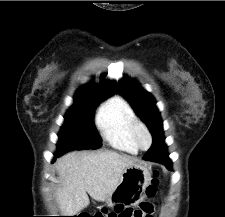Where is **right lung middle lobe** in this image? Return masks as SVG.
Segmentation results:
<instances>
[{"instance_id": "right-lung-middle-lobe-1", "label": "right lung middle lobe", "mask_w": 225, "mask_h": 217, "mask_svg": "<svg viewBox=\"0 0 225 217\" xmlns=\"http://www.w3.org/2000/svg\"><path fill=\"white\" fill-rule=\"evenodd\" d=\"M104 98H75L74 104L67 111L65 123L58 135V155L70 150L98 149L101 138L93 123L94 109Z\"/></svg>"}]
</instances>
